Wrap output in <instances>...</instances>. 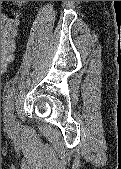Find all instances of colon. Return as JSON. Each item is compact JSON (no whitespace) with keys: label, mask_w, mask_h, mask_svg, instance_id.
Here are the masks:
<instances>
[{"label":"colon","mask_w":121,"mask_h":169,"mask_svg":"<svg viewBox=\"0 0 121 169\" xmlns=\"http://www.w3.org/2000/svg\"><path fill=\"white\" fill-rule=\"evenodd\" d=\"M18 23L19 16L17 13H11L3 17L1 39V68L3 69H7L13 59Z\"/></svg>","instance_id":"obj_1"}]
</instances>
